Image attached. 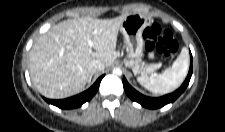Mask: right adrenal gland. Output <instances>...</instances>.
Listing matches in <instances>:
<instances>
[{
  "mask_svg": "<svg viewBox=\"0 0 225 132\" xmlns=\"http://www.w3.org/2000/svg\"><path fill=\"white\" fill-rule=\"evenodd\" d=\"M91 78H92V76H91L90 79H89V83L91 82Z\"/></svg>",
  "mask_w": 225,
  "mask_h": 132,
  "instance_id": "right-adrenal-gland-1",
  "label": "right adrenal gland"
}]
</instances>
